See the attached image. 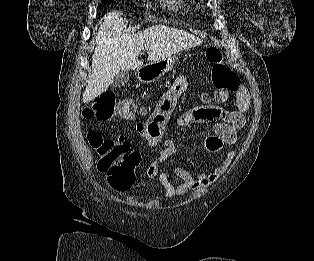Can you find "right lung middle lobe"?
Segmentation results:
<instances>
[{
  "instance_id": "dd1d6c3e",
  "label": "right lung middle lobe",
  "mask_w": 314,
  "mask_h": 261,
  "mask_svg": "<svg viewBox=\"0 0 314 261\" xmlns=\"http://www.w3.org/2000/svg\"><path fill=\"white\" fill-rule=\"evenodd\" d=\"M102 2H103L104 4H109V3L113 2V0H102Z\"/></svg>"
}]
</instances>
